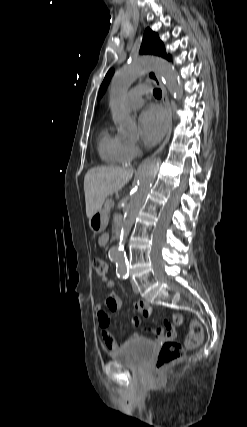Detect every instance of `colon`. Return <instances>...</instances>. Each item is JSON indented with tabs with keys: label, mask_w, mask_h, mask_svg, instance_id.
I'll return each mask as SVG.
<instances>
[{
	"label": "colon",
	"mask_w": 247,
	"mask_h": 427,
	"mask_svg": "<svg viewBox=\"0 0 247 427\" xmlns=\"http://www.w3.org/2000/svg\"><path fill=\"white\" fill-rule=\"evenodd\" d=\"M93 267L100 278H107L108 264L106 261L102 259H95L93 261ZM202 340L203 329L201 325L196 321H192L190 324L189 337L184 344L175 341H167L162 345L155 361V370L158 372L162 371L181 360L185 356L186 350L198 348L201 345Z\"/></svg>",
	"instance_id": "obj_1"
}]
</instances>
